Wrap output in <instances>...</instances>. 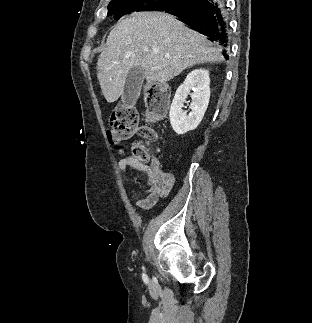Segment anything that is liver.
Masks as SVG:
<instances>
[{
  "mask_svg": "<svg viewBox=\"0 0 312 323\" xmlns=\"http://www.w3.org/2000/svg\"><path fill=\"white\" fill-rule=\"evenodd\" d=\"M221 52L207 36L190 30L176 16L134 12L111 30L98 56L97 78L105 100L112 104L122 96L127 74L134 66H141L148 84H165L190 66L224 62Z\"/></svg>",
  "mask_w": 312,
  "mask_h": 323,
  "instance_id": "1",
  "label": "liver"
}]
</instances>
